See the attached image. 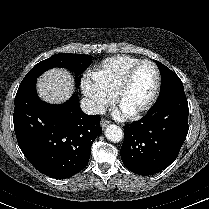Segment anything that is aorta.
I'll use <instances>...</instances> for the list:
<instances>
[{
    "label": "aorta",
    "mask_w": 209,
    "mask_h": 209,
    "mask_svg": "<svg viewBox=\"0 0 209 209\" xmlns=\"http://www.w3.org/2000/svg\"><path fill=\"white\" fill-rule=\"evenodd\" d=\"M105 136L111 142H119L123 139V131L119 126L111 124L107 126Z\"/></svg>",
    "instance_id": "1"
}]
</instances>
